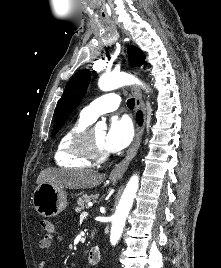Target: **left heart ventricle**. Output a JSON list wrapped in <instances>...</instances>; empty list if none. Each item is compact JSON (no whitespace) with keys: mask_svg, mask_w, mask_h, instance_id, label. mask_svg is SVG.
Returning <instances> with one entry per match:
<instances>
[{"mask_svg":"<svg viewBox=\"0 0 221 268\" xmlns=\"http://www.w3.org/2000/svg\"><path fill=\"white\" fill-rule=\"evenodd\" d=\"M104 137H105V132L102 130H98V129H93L92 131V138L93 141L96 145V147L103 152H106V150L104 149Z\"/></svg>","mask_w":221,"mask_h":268,"instance_id":"b2bd125f","label":"left heart ventricle"}]
</instances>
